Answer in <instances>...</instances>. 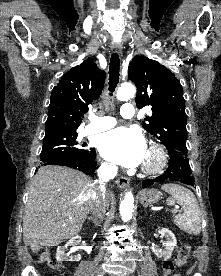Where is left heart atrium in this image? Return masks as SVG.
<instances>
[{"instance_id": "obj_1", "label": "left heart atrium", "mask_w": 221, "mask_h": 276, "mask_svg": "<svg viewBox=\"0 0 221 276\" xmlns=\"http://www.w3.org/2000/svg\"><path fill=\"white\" fill-rule=\"evenodd\" d=\"M99 149L105 159L125 167L138 166L147 155L143 135L136 129L123 127L103 134Z\"/></svg>"}]
</instances>
